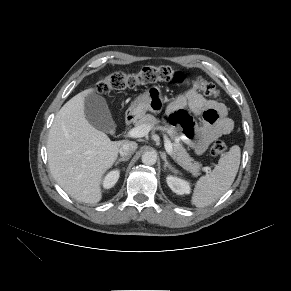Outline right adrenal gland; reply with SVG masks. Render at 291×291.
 Segmentation results:
<instances>
[{"label": "right adrenal gland", "instance_id": "2a0ac1e0", "mask_svg": "<svg viewBox=\"0 0 291 291\" xmlns=\"http://www.w3.org/2000/svg\"><path fill=\"white\" fill-rule=\"evenodd\" d=\"M129 159H130V157H122V158H119V159L116 161L115 165L119 164V162H122V161H128Z\"/></svg>", "mask_w": 291, "mask_h": 291}]
</instances>
